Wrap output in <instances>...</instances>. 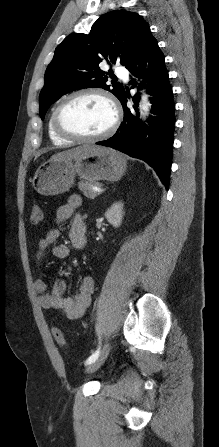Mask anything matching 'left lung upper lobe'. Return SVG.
<instances>
[{"label":"left lung upper lobe","mask_w":219,"mask_h":447,"mask_svg":"<svg viewBox=\"0 0 219 447\" xmlns=\"http://www.w3.org/2000/svg\"><path fill=\"white\" fill-rule=\"evenodd\" d=\"M150 34L148 23L140 15L115 10L102 15L89 34L68 35L55 49L45 72V84L39 95L41 119L61 96L82 88L100 87L121 100L125 93L123 85H107V76L99 64L119 61L126 65Z\"/></svg>","instance_id":"5c2ea615"}]
</instances>
